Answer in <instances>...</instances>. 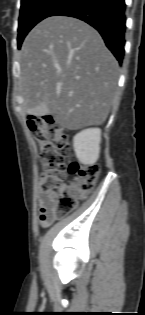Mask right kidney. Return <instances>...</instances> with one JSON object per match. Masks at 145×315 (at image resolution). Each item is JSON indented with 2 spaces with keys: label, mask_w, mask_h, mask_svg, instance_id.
Returning <instances> with one entry per match:
<instances>
[{
  "label": "right kidney",
  "mask_w": 145,
  "mask_h": 315,
  "mask_svg": "<svg viewBox=\"0 0 145 315\" xmlns=\"http://www.w3.org/2000/svg\"><path fill=\"white\" fill-rule=\"evenodd\" d=\"M100 141L101 130L99 128L85 129L74 136V151L82 164L92 165L98 160Z\"/></svg>",
  "instance_id": "ca27d5eb"
}]
</instances>
